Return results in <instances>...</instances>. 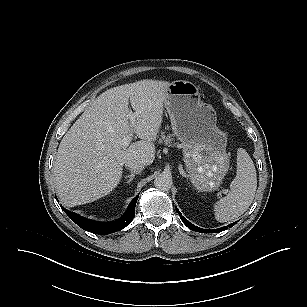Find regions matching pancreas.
<instances>
[{
	"instance_id": "1",
	"label": "pancreas",
	"mask_w": 307,
	"mask_h": 307,
	"mask_svg": "<svg viewBox=\"0 0 307 307\" xmlns=\"http://www.w3.org/2000/svg\"><path fill=\"white\" fill-rule=\"evenodd\" d=\"M174 138H173V135L171 134H167L165 135L164 132L161 133V138L159 139V143H163L167 146H175L176 143H174ZM179 146V145H177Z\"/></svg>"
}]
</instances>
